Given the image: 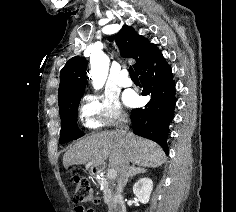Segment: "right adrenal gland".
I'll use <instances>...</instances> for the list:
<instances>
[{"instance_id":"1","label":"right adrenal gland","mask_w":236,"mask_h":212,"mask_svg":"<svg viewBox=\"0 0 236 212\" xmlns=\"http://www.w3.org/2000/svg\"><path fill=\"white\" fill-rule=\"evenodd\" d=\"M141 173H146L145 167H142V166H137L136 167L135 165H132L130 167L128 176L126 178L125 185H127L130 178H133L134 176H136L138 174H141Z\"/></svg>"}]
</instances>
